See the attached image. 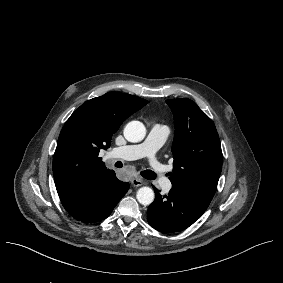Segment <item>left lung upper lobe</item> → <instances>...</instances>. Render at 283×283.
Segmentation results:
<instances>
[{"instance_id":"5c2ea615","label":"left lung upper lobe","mask_w":283,"mask_h":283,"mask_svg":"<svg viewBox=\"0 0 283 283\" xmlns=\"http://www.w3.org/2000/svg\"><path fill=\"white\" fill-rule=\"evenodd\" d=\"M174 115L172 145L175 185L211 202L222 169V150L213 121L190 99L166 100Z\"/></svg>"}]
</instances>
